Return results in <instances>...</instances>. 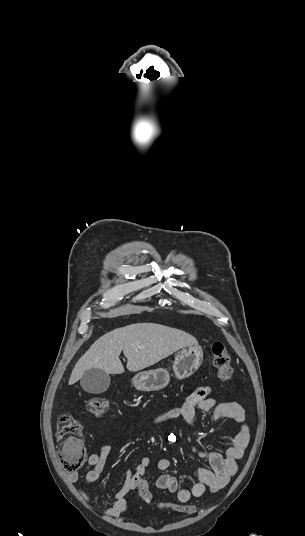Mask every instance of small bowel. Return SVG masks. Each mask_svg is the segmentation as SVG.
Here are the masks:
<instances>
[{
	"label": "small bowel",
	"instance_id": "c3829d8e",
	"mask_svg": "<svg viewBox=\"0 0 305 536\" xmlns=\"http://www.w3.org/2000/svg\"><path fill=\"white\" fill-rule=\"evenodd\" d=\"M210 387L205 385H197L186 401L178 407L170 408L159 414L154 420L153 425H161L163 423L181 419L187 426H192L195 410L199 409L204 412H212L214 421L220 418H227L236 421L240 424V429L234 436L232 444L224 451L223 454L218 452H200L206 456L210 468L199 469L197 472V481L192 485L191 489H179L177 479L172 475H161L156 480V487L160 490H166L170 493H176L179 500H190L192 497L202 496L206 489L211 492H217L224 488L230 479L237 472V460L242 458L245 449L250 440V430L246 422L245 411L242 406L236 402H218L216 399L209 396ZM111 446L102 444L96 454L87 456L84 460L85 466L93 468L86 472L82 481V490L87 493V486L99 478L105 464L111 454ZM151 460L149 457H141L137 465L126 472V478L122 487L117 491L112 505L106 509V514L112 517L121 516L128 509V501L126 496L136 491V484L140 481H146L145 473L149 467ZM172 460L169 458H161L157 462V468L160 471H167L172 467ZM70 482L75 483L79 479L78 471L69 474Z\"/></svg>",
	"mask_w": 305,
	"mask_h": 536
}]
</instances>
